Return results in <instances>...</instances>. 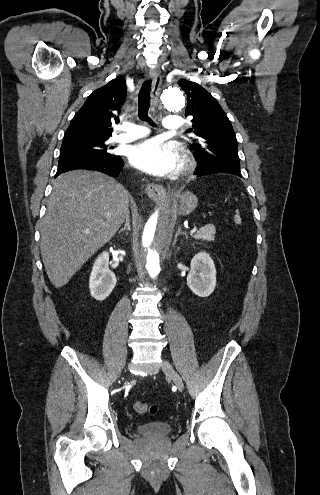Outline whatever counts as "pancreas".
Wrapping results in <instances>:
<instances>
[{"instance_id":"cf45deb5","label":"pancreas","mask_w":320,"mask_h":495,"mask_svg":"<svg viewBox=\"0 0 320 495\" xmlns=\"http://www.w3.org/2000/svg\"><path fill=\"white\" fill-rule=\"evenodd\" d=\"M215 233H216L215 226L212 224H208V225H205L204 227L200 228L193 235V238L196 240L213 241Z\"/></svg>"}]
</instances>
